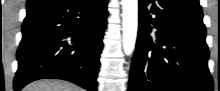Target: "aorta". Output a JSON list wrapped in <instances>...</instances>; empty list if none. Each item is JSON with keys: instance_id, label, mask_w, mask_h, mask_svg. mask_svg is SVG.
Segmentation results:
<instances>
[{"instance_id": "aorta-1", "label": "aorta", "mask_w": 220, "mask_h": 91, "mask_svg": "<svg viewBox=\"0 0 220 91\" xmlns=\"http://www.w3.org/2000/svg\"><path fill=\"white\" fill-rule=\"evenodd\" d=\"M123 49L130 55L136 43L138 29V0H122Z\"/></svg>"}]
</instances>
